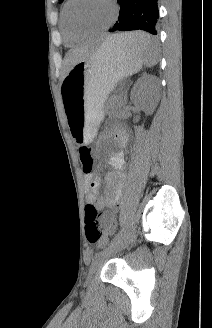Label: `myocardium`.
<instances>
[{"label": "myocardium", "instance_id": "myocardium-1", "mask_svg": "<svg viewBox=\"0 0 212 328\" xmlns=\"http://www.w3.org/2000/svg\"><path fill=\"white\" fill-rule=\"evenodd\" d=\"M109 3L112 6V10H113V14L111 17V20L108 24H106L103 27L100 28H95V29H78L76 27L73 26L70 16H69V10L72 6V4L75 2V0H67L66 1V5H65V9H64V17H65V21L68 27V30L72 33V34H76V33H81L84 35H91V34H97V33H101L103 31L108 30L111 25L115 22L117 15H118V5L116 0H108Z\"/></svg>", "mask_w": 212, "mask_h": 328}]
</instances>
